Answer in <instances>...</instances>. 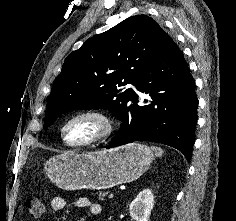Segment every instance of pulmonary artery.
Here are the masks:
<instances>
[{
	"label": "pulmonary artery",
	"instance_id": "e3ab8cb5",
	"mask_svg": "<svg viewBox=\"0 0 236 221\" xmlns=\"http://www.w3.org/2000/svg\"><path fill=\"white\" fill-rule=\"evenodd\" d=\"M129 86H130L133 90L137 91V90H136V87H135L133 84H130Z\"/></svg>",
	"mask_w": 236,
	"mask_h": 221
}]
</instances>
